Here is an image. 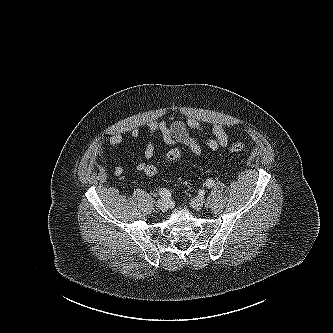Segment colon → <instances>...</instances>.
<instances>
[{"label":"colon","instance_id":"5ec220e1","mask_svg":"<svg viewBox=\"0 0 333 333\" xmlns=\"http://www.w3.org/2000/svg\"><path fill=\"white\" fill-rule=\"evenodd\" d=\"M246 149V145L244 143H235L229 147L230 153H239ZM182 156L181 150L178 148H172L166 153V158L170 161H174L179 159ZM144 173L147 176H155L159 173V168L155 164H146Z\"/></svg>","mask_w":333,"mask_h":333}]
</instances>
